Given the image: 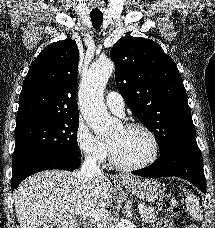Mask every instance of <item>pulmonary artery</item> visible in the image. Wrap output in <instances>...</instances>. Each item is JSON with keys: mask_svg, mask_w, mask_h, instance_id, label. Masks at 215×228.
Returning a JSON list of instances; mask_svg holds the SVG:
<instances>
[{"mask_svg": "<svg viewBox=\"0 0 215 228\" xmlns=\"http://www.w3.org/2000/svg\"><path fill=\"white\" fill-rule=\"evenodd\" d=\"M107 107L116 114H122L125 106L124 99L117 92H109L106 95Z\"/></svg>", "mask_w": 215, "mask_h": 228, "instance_id": "obj_1", "label": "pulmonary artery"}]
</instances>
